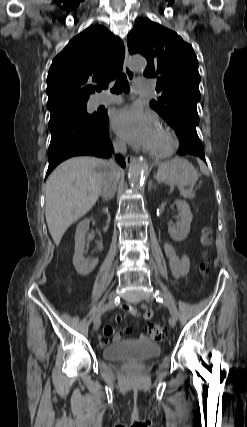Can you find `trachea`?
I'll return each instance as SVG.
<instances>
[{
    "label": "trachea",
    "instance_id": "trachea-1",
    "mask_svg": "<svg viewBox=\"0 0 247 427\" xmlns=\"http://www.w3.org/2000/svg\"><path fill=\"white\" fill-rule=\"evenodd\" d=\"M98 91H100V89H98ZM129 91H130V86H129V83L127 81L126 75L120 74L116 80V83L112 89V92L119 94L122 92H129Z\"/></svg>",
    "mask_w": 247,
    "mask_h": 427
}]
</instances>
